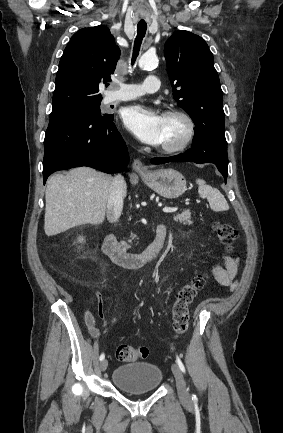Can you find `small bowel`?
<instances>
[{
  "label": "small bowel",
  "instance_id": "obj_1",
  "mask_svg": "<svg viewBox=\"0 0 283 433\" xmlns=\"http://www.w3.org/2000/svg\"><path fill=\"white\" fill-rule=\"evenodd\" d=\"M223 266H213L211 271L214 275L215 280L222 286L228 287L229 290H233L236 286V276L239 271V259L237 257L223 256ZM195 272H192L194 274ZM99 314L102 316V310L99 309ZM115 321L113 319L112 323ZM85 324L88 333L93 337L99 336V330L96 327V318L91 310L85 312Z\"/></svg>",
  "mask_w": 283,
  "mask_h": 433
}]
</instances>
